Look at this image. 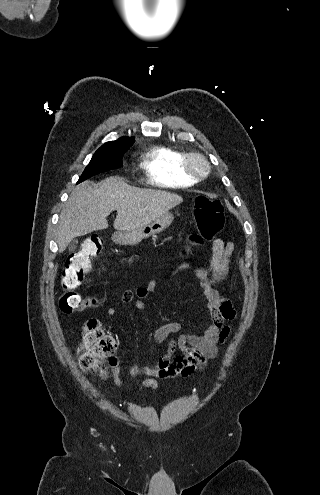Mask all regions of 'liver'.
<instances>
[{
  "instance_id": "6515ba94",
  "label": "liver",
  "mask_w": 320,
  "mask_h": 495,
  "mask_svg": "<svg viewBox=\"0 0 320 495\" xmlns=\"http://www.w3.org/2000/svg\"><path fill=\"white\" fill-rule=\"evenodd\" d=\"M177 194L131 187L119 177L105 179L96 187L78 185L60 214L56 233L59 252L76 237L108 228L107 217L117 211L114 228L126 231L144 226L182 203Z\"/></svg>"
}]
</instances>
